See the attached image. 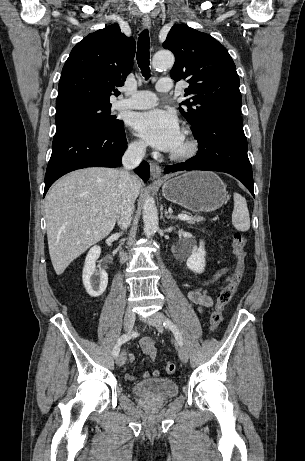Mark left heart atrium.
I'll return each mask as SVG.
<instances>
[{
    "instance_id": "39dd6f15",
    "label": "left heart atrium",
    "mask_w": 305,
    "mask_h": 461,
    "mask_svg": "<svg viewBox=\"0 0 305 461\" xmlns=\"http://www.w3.org/2000/svg\"><path fill=\"white\" fill-rule=\"evenodd\" d=\"M131 125L138 136L162 151H174L183 137L178 119L170 111L156 109L138 113Z\"/></svg>"
}]
</instances>
